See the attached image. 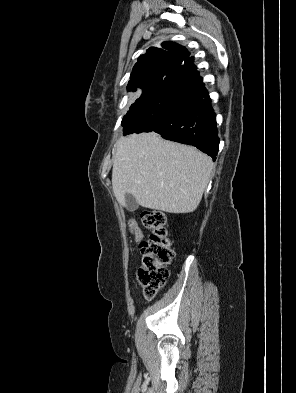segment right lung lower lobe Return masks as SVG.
<instances>
[{"instance_id":"obj_1","label":"right lung lower lobe","mask_w":296,"mask_h":393,"mask_svg":"<svg viewBox=\"0 0 296 393\" xmlns=\"http://www.w3.org/2000/svg\"><path fill=\"white\" fill-rule=\"evenodd\" d=\"M156 132L163 138L193 145L216 160L219 147L216 115L194 64L166 77L124 135Z\"/></svg>"}]
</instances>
